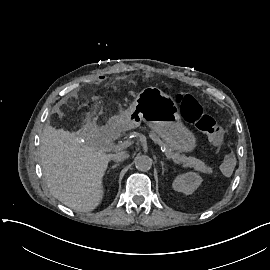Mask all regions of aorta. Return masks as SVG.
<instances>
[{"label":"aorta","mask_w":270,"mask_h":270,"mask_svg":"<svg viewBox=\"0 0 270 270\" xmlns=\"http://www.w3.org/2000/svg\"><path fill=\"white\" fill-rule=\"evenodd\" d=\"M136 169L146 172L151 169L153 160L147 155H138L135 160Z\"/></svg>","instance_id":"obj_1"}]
</instances>
